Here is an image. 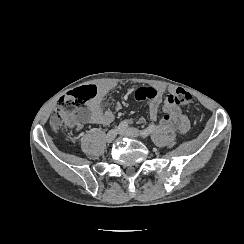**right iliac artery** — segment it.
<instances>
[{"label": "right iliac artery", "instance_id": "obj_1", "mask_svg": "<svg viewBox=\"0 0 244 244\" xmlns=\"http://www.w3.org/2000/svg\"><path fill=\"white\" fill-rule=\"evenodd\" d=\"M128 127V123L126 121H122L119 125H118V129L119 130H124Z\"/></svg>", "mask_w": 244, "mask_h": 244}]
</instances>
